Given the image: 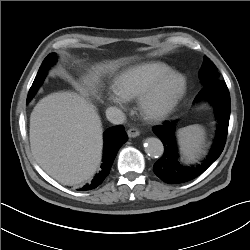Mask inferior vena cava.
<instances>
[{"mask_svg": "<svg viewBox=\"0 0 250 250\" xmlns=\"http://www.w3.org/2000/svg\"><path fill=\"white\" fill-rule=\"evenodd\" d=\"M106 117L108 121L115 125L123 124L125 121V114L116 107H109L106 109Z\"/></svg>", "mask_w": 250, "mask_h": 250, "instance_id": "602c4592", "label": "inferior vena cava"}]
</instances>
